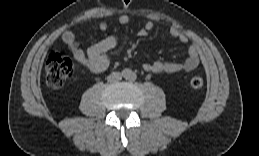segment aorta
Instances as JSON below:
<instances>
[{"mask_svg": "<svg viewBox=\"0 0 259 156\" xmlns=\"http://www.w3.org/2000/svg\"><path fill=\"white\" fill-rule=\"evenodd\" d=\"M124 77H125L126 79L132 78V77H133L132 71H131L130 69L124 70Z\"/></svg>", "mask_w": 259, "mask_h": 156, "instance_id": "762f6f07", "label": "aorta"}]
</instances>
